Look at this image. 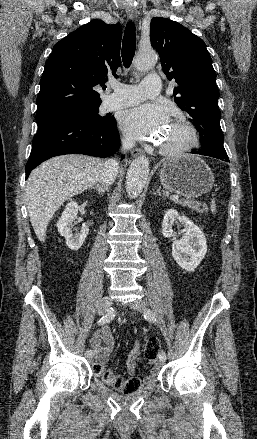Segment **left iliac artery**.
<instances>
[{"instance_id":"44dca946","label":"left iliac artery","mask_w":257,"mask_h":439,"mask_svg":"<svg viewBox=\"0 0 257 439\" xmlns=\"http://www.w3.org/2000/svg\"><path fill=\"white\" fill-rule=\"evenodd\" d=\"M144 318L149 320L152 323L156 322V318L154 313L150 310V309H146V311L144 312ZM159 358L166 360V353L164 351H160L159 352Z\"/></svg>"}]
</instances>
